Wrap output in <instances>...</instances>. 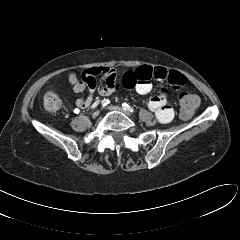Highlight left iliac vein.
I'll return each mask as SVG.
<instances>
[{"label":"left iliac vein","instance_id":"left-iliac-vein-1","mask_svg":"<svg viewBox=\"0 0 240 240\" xmlns=\"http://www.w3.org/2000/svg\"><path fill=\"white\" fill-rule=\"evenodd\" d=\"M107 109L112 110V111L121 112V113H123V114H125L127 116H131V114L128 111L124 110L120 106H109Z\"/></svg>","mask_w":240,"mask_h":240}]
</instances>
